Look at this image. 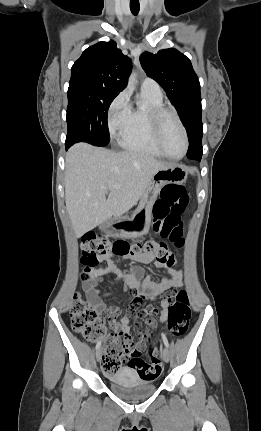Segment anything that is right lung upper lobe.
Listing matches in <instances>:
<instances>
[{
  "label": "right lung upper lobe",
  "mask_w": 261,
  "mask_h": 431,
  "mask_svg": "<svg viewBox=\"0 0 261 431\" xmlns=\"http://www.w3.org/2000/svg\"><path fill=\"white\" fill-rule=\"evenodd\" d=\"M132 69L114 41L99 42L87 48L71 68L70 82H87L121 92Z\"/></svg>",
  "instance_id": "obj_1"
}]
</instances>
